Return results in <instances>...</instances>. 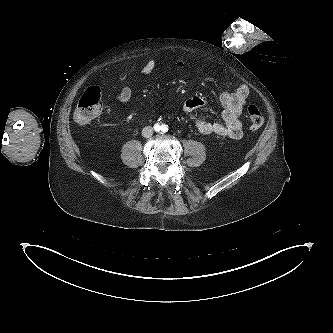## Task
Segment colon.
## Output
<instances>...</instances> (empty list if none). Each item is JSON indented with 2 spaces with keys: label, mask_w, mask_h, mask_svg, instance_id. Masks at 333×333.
Segmentation results:
<instances>
[{
  "label": "colon",
  "mask_w": 333,
  "mask_h": 333,
  "mask_svg": "<svg viewBox=\"0 0 333 333\" xmlns=\"http://www.w3.org/2000/svg\"><path fill=\"white\" fill-rule=\"evenodd\" d=\"M102 110L101 90L97 86L88 87L78 100L74 111V119L78 124L86 125L93 121ZM247 119L252 130H258L264 123V118L255 105L247 108Z\"/></svg>",
  "instance_id": "colon-1"
}]
</instances>
